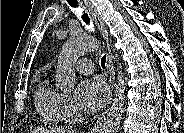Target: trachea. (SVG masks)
Listing matches in <instances>:
<instances>
[{"label":"trachea","instance_id":"3493384b","mask_svg":"<svg viewBox=\"0 0 184 133\" xmlns=\"http://www.w3.org/2000/svg\"><path fill=\"white\" fill-rule=\"evenodd\" d=\"M67 2L69 3V5H70L72 8H78L77 1H76V0H67ZM81 18H82V20H83L87 25H90V18L88 17V15H87L86 13H82ZM105 64H106V57L103 56V57L101 58V66H102V68H105Z\"/></svg>","mask_w":184,"mask_h":133}]
</instances>
